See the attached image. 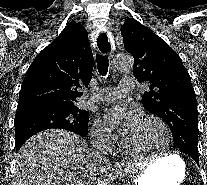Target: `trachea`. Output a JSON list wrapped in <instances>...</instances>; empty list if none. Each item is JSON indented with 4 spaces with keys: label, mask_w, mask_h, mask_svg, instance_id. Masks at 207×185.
<instances>
[{
    "label": "trachea",
    "mask_w": 207,
    "mask_h": 185,
    "mask_svg": "<svg viewBox=\"0 0 207 185\" xmlns=\"http://www.w3.org/2000/svg\"><path fill=\"white\" fill-rule=\"evenodd\" d=\"M98 46L101 52L107 53L110 51V44L108 42L107 35L105 33H102L98 37ZM96 61H97V67L98 71L100 72L101 75H106L108 71V58L107 56L103 55H96Z\"/></svg>",
    "instance_id": "trachea-1"
}]
</instances>
